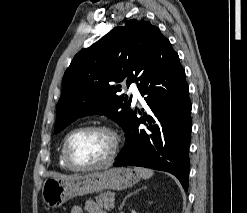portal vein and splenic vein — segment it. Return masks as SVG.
<instances>
[{
    "label": "portal vein and splenic vein",
    "instance_id": "portal-vein-and-splenic-vein-1",
    "mask_svg": "<svg viewBox=\"0 0 247 213\" xmlns=\"http://www.w3.org/2000/svg\"><path fill=\"white\" fill-rule=\"evenodd\" d=\"M115 207V204H114V201H112L111 203H110V208H114Z\"/></svg>",
    "mask_w": 247,
    "mask_h": 213
}]
</instances>
